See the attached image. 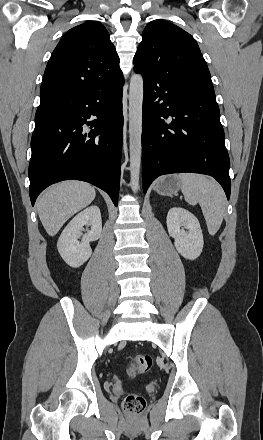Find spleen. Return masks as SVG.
Listing matches in <instances>:
<instances>
[{
  "label": "spleen",
  "mask_w": 263,
  "mask_h": 440,
  "mask_svg": "<svg viewBox=\"0 0 263 440\" xmlns=\"http://www.w3.org/2000/svg\"><path fill=\"white\" fill-rule=\"evenodd\" d=\"M177 179L186 202L190 205H200L208 232L215 235L226 210V196L222 187L202 174L180 173Z\"/></svg>",
  "instance_id": "3e777b00"
}]
</instances>
